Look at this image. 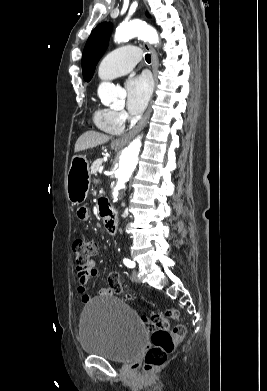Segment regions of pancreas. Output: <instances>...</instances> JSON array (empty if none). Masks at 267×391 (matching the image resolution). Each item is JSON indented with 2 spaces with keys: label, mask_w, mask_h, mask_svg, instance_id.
Returning a JSON list of instances; mask_svg holds the SVG:
<instances>
[{
  "label": "pancreas",
  "mask_w": 267,
  "mask_h": 391,
  "mask_svg": "<svg viewBox=\"0 0 267 391\" xmlns=\"http://www.w3.org/2000/svg\"><path fill=\"white\" fill-rule=\"evenodd\" d=\"M103 160L102 159H97L96 161L93 162L91 166V173L92 174H97L100 166L102 165Z\"/></svg>",
  "instance_id": "1"
}]
</instances>
